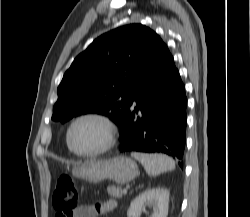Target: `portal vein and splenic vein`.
<instances>
[{"mask_svg":"<svg viewBox=\"0 0 250 217\" xmlns=\"http://www.w3.org/2000/svg\"><path fill=\"white\" fill-rule=\"evenodd\" d=\"M123 193L126 194V193H127V189H124V190H123Z\"/></svg>","mask_w":250,"mask_h":217,"instance_id":"1","label":"portal vein and splenic vein"}]
</instances>
